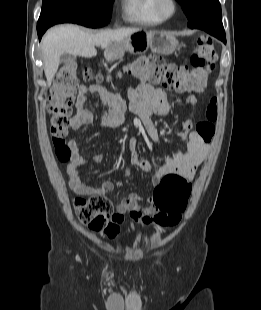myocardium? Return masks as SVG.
Segmentation results:
<instances>
[{"mask_svg":"<svg viewBox=\"0 0 261 310\" xmlns=\"http://www.w3.org/2000/svg\"><path fill=\"white\" fill-rule=\"evenodd\" d=\"M169 3L171 6L170 12L166 13L163 10V4ZM154 6L156 13L163 19L168 20L175 16L178 10V4L176 0H154Z\"/></svg>","mask_w":261,"mask_h":310,"instance_id":"myocardium-1","label":"myocardium"}]
</instances>
